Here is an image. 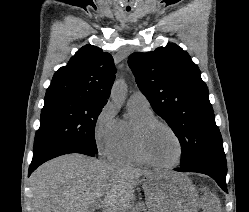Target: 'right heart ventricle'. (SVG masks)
Wrapping results in <instances>:
<instances>
[{"label": "right heart ventricle", "mask_w": 249, "mask_h": 212, "mask_svg": "<svg viewBox=\"0 0 249 212\" xmlns=\"http://www.w3.org/2000/svg\"><path fill=\"white\" fill-rule=\"evenodd\" d=\"M129 111L131 113L130 121H117L116 123V139L108 157L117 163L143 165L144 163L135 150L133 130L137 123L155 118V115L150 108H142L132 104H129Z\"/></svg>", "instance_id": "1"}]
</instances>
